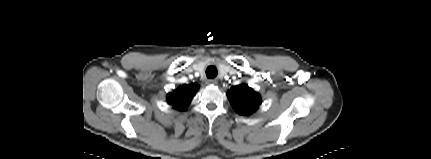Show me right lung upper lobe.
<instances>
[{
  "label": "right lung upper lobe",
  "instance_id": "1",
  "mask_svg": "<svg viewBox=\"0 0 431 159\" xmlns=\"http://www.w3.org/2000/svg\"><path fill=\"white\" fill-rule=\"evenodd\" d=\"M199 86L196 83L183 85L169 94L168 102L178 110H186Z\"/></svg>",
  "mask_w": 431,
  "mask_h": 159
}]
</instances>
